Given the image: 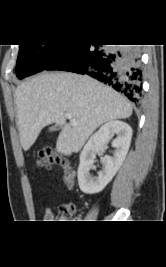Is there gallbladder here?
<instances>
[{
	"instance_id": "bac80fb5",
	"label": "gallbladder",
	"mask_w": 166,
	"mask_h": 267,
	"mask_svg": "<svg viewBox=\"0 0 166 267\" xmlns=\"http://www.w3.org/2000/svg\"><path fill=\"white\" fill-rule=\"evenodd\" d=\"M62 127L60 125H55L53 127L49 128V131H55V130H60Z\"/></svg>"
}]
</instances>
